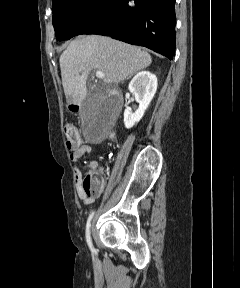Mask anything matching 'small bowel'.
Wrapping results in <instances>:
<instances>
[{"mask_svg": "<svg viewBox=\"0 0 240 288\" xmlns=\"http://www.w3.org/2000/svg\"><path fill=\"white\" fill-rule=\"evenodd\" d=\"M91 152V146L81 145L80 147L74 149L70 154V160L74 164L73 175L76 192L78 197L83 200L85 205H91L94 202L95 198L99 197L105 188L103 167L100 166V164L95 160L89 161L85 164L80 163L81 157L89 155L91 154ZM82 169L88 170V175H96L100 180V191L92 197H87L83 192Z\"/></svg>", "mask_w": 240, "mask_h": 288, "instance_id": "small-bowel-1", "label": "small bowel"}]
</instances>
